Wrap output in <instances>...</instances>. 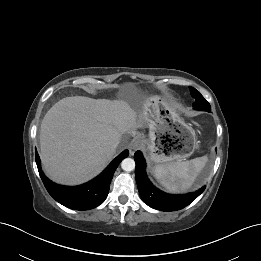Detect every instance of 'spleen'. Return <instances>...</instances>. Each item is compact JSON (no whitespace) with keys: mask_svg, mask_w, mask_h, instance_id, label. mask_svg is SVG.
<instances>
[{"mask_svg":"<svg viewBox=\"0 0 261 261\" xmlns=\"http://www.w3.org/2000/svg\"><path fill=\"white\" fill-rule=\"evenodd\" d=\"M206 162L207 157L202 156L185 162L177 161L156 165L152 173L168 190L173 192L185 191L192 186Z\"/></svg>","mask_w":261,"mask_h":261,"instance_id":"3e777b00","label":"spleen"}]
</instances>
